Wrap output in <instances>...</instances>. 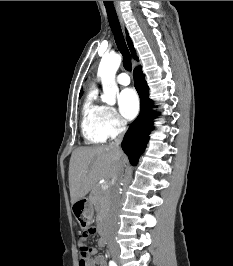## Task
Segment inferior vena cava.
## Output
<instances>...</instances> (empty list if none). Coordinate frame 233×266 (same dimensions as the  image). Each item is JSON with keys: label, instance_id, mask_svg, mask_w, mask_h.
<instances>
[{"label": "inferior vena cava", "instance_id": "602c4592", "mask_svg": "<svg viewBox=\"0 0 233 266\" xmlns=\"http://www.w3.org/2000/svg\"><path fill=\"white\" fill-rule=\"evenodd\" d=\"M120 132L115 139L114 142L111 143V146L119 149V146L123 140L124 133L126 131V123L122 122L119 128ZM123 175H120L117 177L114 181V185L111 191V208H110V215H109V221H108V231H109V236L112 237L115 232L117 231L118 228V220H119V210L121 207V196L119 193V186L120 182L122 180Z\"/></svg>", "mask_w": 233, "mask_h": 266}]
</instances>
